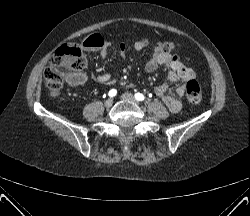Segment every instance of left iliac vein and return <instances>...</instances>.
Masks as SVG:
<instances>
[{
    "label": "left iliac vein",
    "instance_id": "4c4485c4",
    "mask_svg": "<svg viewBox=\"0 0 250 216\" xmlns=\"http://www.w3.org/2000/svg\"><path fill=\"white\" fill-rule=\"evenodd\" d=\"M121 99H123L125 101H131V102L138 103V101L135 99V97L131 93L122 94Z\"/></svg>",
    "mask_w": 250,
    "mask_h": 216
}]
</instances>
